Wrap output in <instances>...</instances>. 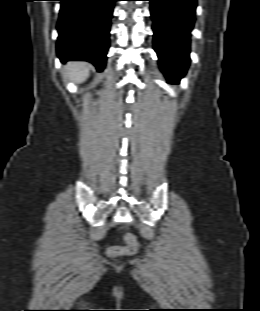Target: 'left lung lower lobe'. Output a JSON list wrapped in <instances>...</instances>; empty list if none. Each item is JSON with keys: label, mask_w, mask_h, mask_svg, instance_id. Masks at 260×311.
I'll return each instance as SVG.
<instances>
[{"label": "left lung lower lobe", "mask_w": 260, "mask_h": 311, "mask_svg": "<svg viewBox=\"0 0 260 311\" xmlns=\"http://www.w3.org/2000/svg\"><path fill=\"white\" fill-rule=\"evenodd\" d=\"M148 1L160 68L168 82L178 83L189 65V36L195 21L196 0Z\"/></svg>", "instance_id": "1"}]
</instances>
